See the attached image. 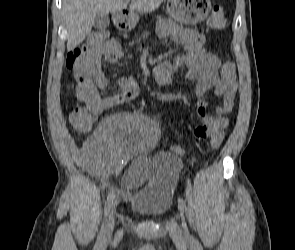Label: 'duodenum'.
Here are the masks:
<instances>
[{"mask_svg":"<svg viewBox=\"0 0 295 250\" xmlns=\"http://www.w3.org/2000/svg\"><path fill=\"white\" fill-rule=\"evenodd\" d=\"M127 21H128V12L125 9L121 10L115 16V22L116 23L127 22Z\"/></svg>","mask_w":295,"mask_h":250,"instance_id":"obj_1","label":"duodenum"}]
</instances>
